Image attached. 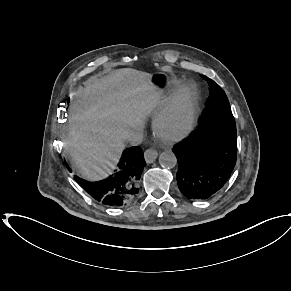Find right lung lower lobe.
<instances>
[{"mask_svg":"<svg viewBox=\"0 0 291 291\" xmlns=\"http://www.w3.org/2000/svg\"><path fill=\"white\" fill-rule=\"evenodd\" d=\"M146 166L142 149H126L114 174L98 182H88L77 176L75 180L97 202L108 207L131 203L139 193V179Z\"/></svg>","mask_w":291,"mask_h":291,"instance_id":"right-lung-lower-lobe-1","label":"right lung lower lobe"}]
</instances>
